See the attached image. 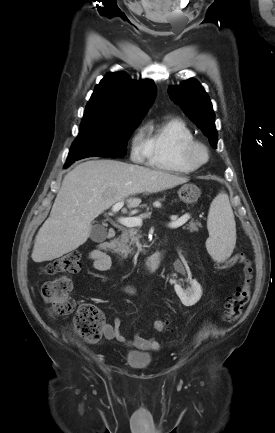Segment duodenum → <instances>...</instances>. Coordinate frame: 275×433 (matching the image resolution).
Returning a JSON list of instances; mask_svg holds the SVG:
<instances>
[{
  "label": "duodenum",
  "mask_w": 275,
  "mask_h": 433,
  "mask_svg": "<svg viewBox=\"0 0 275 433\" xmlns=\"http://www.w3.org/2000/svg\"><path fill=\"white\" fill-rule=\"evenodd\" d=\"M116 235V230L114 228H109L107 230V237L109 240L107 242L100 243L99 250L107 254L112 251L113 241L112 239ZM108 255V254H107ZM164 252L159 251L149 256L142 263V268L147 272H154L158 270L162 265Z\"/></svg>",
  "instance_id": "410a0bca"
}]
</instances>
